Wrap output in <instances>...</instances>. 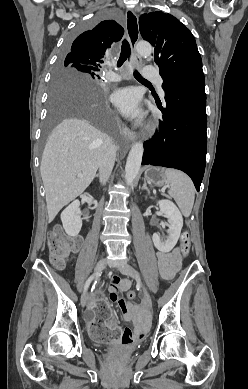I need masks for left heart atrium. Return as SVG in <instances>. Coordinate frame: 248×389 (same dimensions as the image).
Listing matches in <instances>:
<instances>
[{
	"instance_id": "1",
	"label": "left heart atrium",
	"mask_w": 248,
	"mask_h": 389,
	"mask_svg": "<svg viewBox=\"0 0 248 389\" xmlns=\"http://www.w3.org/2000/svg\"><path fill=\"white\" fill-rule=\"evenodd\" d=\"M139 94L134 88H122L113 95V103L128 118H140L142 110L139 105Z\"/></svg>"
}]
</instances>
